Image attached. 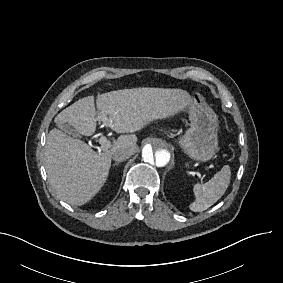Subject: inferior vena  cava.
<instances>
[{
  "mask_svg": "<svg viewBox=\"0 0 283 283\" xmlns=\"http://www.w3.org/2000/svg\"><path fill=\"white\" fill-rule=\"evenodd\" d=\"M134 154V149L130 146H117L112 149V158L117 162H122Z\"/></svg>",
  "mask_w": 283,
  "mask_h": 283,
  "instance_id": "inferior-vena-cava-1",
  "label": "inferior vena cava"
}]
</instances>
